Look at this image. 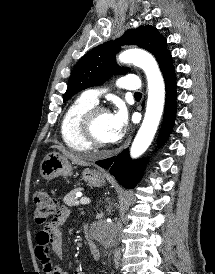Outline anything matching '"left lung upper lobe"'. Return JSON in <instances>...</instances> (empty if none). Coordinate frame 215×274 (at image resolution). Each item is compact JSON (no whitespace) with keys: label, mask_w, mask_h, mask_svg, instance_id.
I'll list each match as a JSON object with an SVG mask.
<instances>
[{"label":"left lung upper lobe","mask_w":215,"mask_h":274,"mask_svg":"<svg viewBox=\"0 0 215 274\" xmlns=\"http://www.w3.org/2000/svg\"><path fill=\"white\" fill-rule=\"evenodd\" d=\"M166 44V39L159 34L155 27L146 25L128 30L119 39L97 46L76 64L64 94L63 102L86 88L103 84L113 73H126L127 68L119 67L115 63V54L122 45H137L152 53L164 74L173 67L172 57L166 48Z\"/></svg>","instance_id":"1"}]
</instances>
